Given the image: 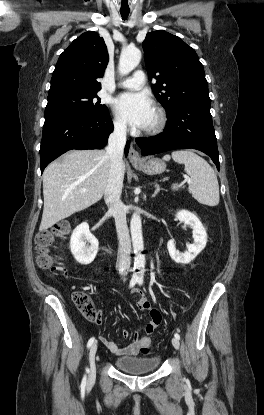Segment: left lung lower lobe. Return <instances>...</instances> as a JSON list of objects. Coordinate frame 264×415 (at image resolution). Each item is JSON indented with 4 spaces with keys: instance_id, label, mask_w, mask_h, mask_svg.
Listing matches in <instances>:
<instances>
[{
    "instance_id": "obj_1",
    "label": "left lung lower lobe",
    "mask_w": 264,
    "mask_h": 415,
    "mask_svg": "<svg viewBox=\"0 0 264 415\" xmlns=\"http://www.w3.org/2000/svg\"><path fill=\"white\" fill-rule=\"evenodd\" d=\"M168 119V124L161 134L136 139L142 155L193 148L210 156L219 170V153L210 102H186L168 113Z\"/></svg>"
}]
</instances>
